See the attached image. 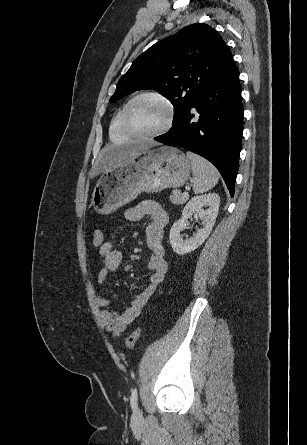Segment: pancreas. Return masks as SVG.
<instances>
[{"mask_svg":"<svg viewBox=\"0 0 307 445\" xmlns=\"http://www.w3.org/2000/svg\"><path fill=\"white\" fill-rule=\"evenodd\" d=\"M170 200L174 202V204H184V202L188 200V196H183L181 190H173L170 194Z\"/></svg>","mask_w":307,"mask_h":445,"instance_id":"cf45deb5","label":"pancreas"}]
</instances>
